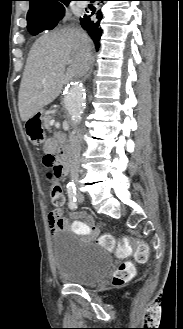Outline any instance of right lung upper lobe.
Instances as JSON below:
<instances>
[{"instance_id": "1", "label": "right lung upper lobe", "mask_w": 183, "mask_h": 329, "mask_svg": "<svg viewBox=\"0 0 183 329\" xmlns=\"http://www.w3.org/2000/svg\"><path fill=\"white\" fill-rule=\"evenodd\" d=\"M30 8L27 14L28 26L34 23L47 22L55 19L62 3L68 4L71 0H28Z\"/></svg>"}]
</instances>
